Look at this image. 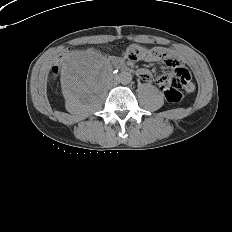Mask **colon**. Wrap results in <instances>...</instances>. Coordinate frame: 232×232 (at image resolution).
<instances>
[{
    "mask_svg": "<svg viewBox=\"0 0 232 232\" xmlns=\"http://www.w3.org/2000/svg\"><path fill=\"white\" fill-rule=\"evenodd\" d=\"M146 54V50L135 49L130 51L127 57L130 60H138ZM52 72L54 75H58L59 67L57 65L53 66ZM174 73L163 78L164 85L162 90L165 93L167 101L170 103H177L182 99V89H185V86L191 80L187 69L183 70L180 67H176Z\"/></svg>",
    "mask_w": 232,
    "mask_h": 232,
    "instance_id": "obj_1",
    "label": "colon"
}]
</instances>
